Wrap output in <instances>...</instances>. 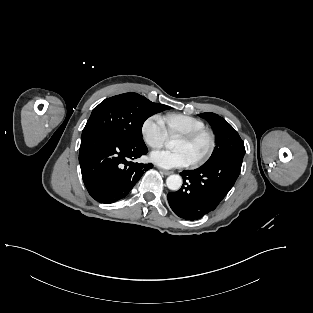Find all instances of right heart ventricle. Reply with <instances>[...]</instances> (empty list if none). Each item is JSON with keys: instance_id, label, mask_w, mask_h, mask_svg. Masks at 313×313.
Segmentation results:
<instances>
[{"instance_id": "1", "label": "right heart ventricle", "mask_w": 313, "mask_h": 313, "mask_svg": "<svg viewBox=\"0 0 313 313\" xmlns=\"http://www.w3.org/2000/svg\"><path fill=\"white\" fill-rule=\"evenodd\" d=\"M161 118L168 135L171 136H180L205 128V123L201 119L186 114L169 113Z\"/></svg>"}]
</instances>
